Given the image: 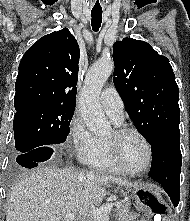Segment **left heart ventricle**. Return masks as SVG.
Here are the masks:
<instances>
[{"instance_id":"obj_1","label":"left heart ventricle","mask_w":190,"mask_h":221,"mask_svg":"<svg viewBox=\"0 0 190 221\" xmlns=\"http://www.w3.org/2000/svg\"><path fill=\"white\" fill-rule=\"evenodd\" d=\"M112 132L107 136L110 138ZM121 158L124 164L131 170L143 169L148 160V153L143 141L135 134L124 135L119 142Z\"/></svg>"}]
</instances>
